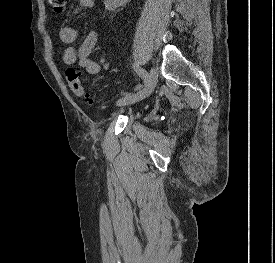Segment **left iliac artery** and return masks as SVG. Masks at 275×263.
Returning <instances> with one entry per match:
<instances>
[{"label":"left iliac artery","instance_id":"1","mask_svg":"<svg viewBox=\"0 0 275 263\" xmlns=\"http://www.w3.org/2000/svg\"><path fill=\"white\" fill-rule=\"evenodd\" d=\"M134 70L136 71V73L144 80V83H146V81L148 80V73L140 68L138 65H133Z\"/></svg>","mask_w":275,"mask_h":263}]
</instances>
